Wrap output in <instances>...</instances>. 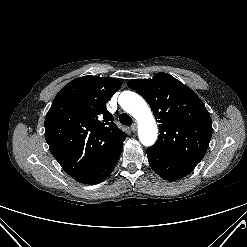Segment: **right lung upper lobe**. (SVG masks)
I'll return each instance as SVG.
<instances>
[{"label": "right lung upper lobe", "mask_w": 247, "mask_h": 247, "mask_svg": "<svg viewBox=\"0 0 247 247\" xmlns=\"http://www.w3.org/2000/svg\"><path fill=\"white\" fill-rule=\"evenodd\" d=\"M114 78L83 76L65 85L45 118V139L55 159L77 179L123 147L126 134L105 104L119 90Z\"/></svg>", "instance_id": "obj_1"}]
</instances>
